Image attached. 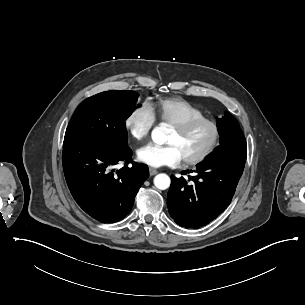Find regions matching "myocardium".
<instances>
[{
  "label": "myocardium",
  "instance_id": "f54148a6",
  "mask_svg": "<svg viewBox=\"0 0 305 305\" xmlns=\"http://www.w3.org/2000/svg\"><path fill=\"white\" fill-rule=\"evenodd\" d=\"M204 123L210 124L213 127V129H214L213 141L199 155L192 157V158L183 159V161L186 165L191 166V165L201 164V163L205 162L217 150V148L219 147V145L221 143V139H222V125L218 120H216L212 117H208V116L192 118V119H188V120L174 123L171 125V127L173 129H175L176 131L186 132V131L191 130L195 126L204 124Z\"/></svg>",
  "mask_w": 305,
  "mask_h": 305
}]
</instances>
